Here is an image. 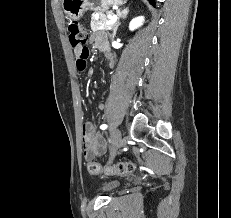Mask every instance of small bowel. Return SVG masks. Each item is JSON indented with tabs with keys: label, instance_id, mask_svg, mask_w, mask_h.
<instances>
[{
	"label": "small bowel",
	"instance_id": "c3829d8e",
	"mask_svg": "<svg viewBox=\"0 0 231 218\" xmlns=\"http://www.w3.org/2000/svg\"><path fill=\"white\" fill-rule=\"evenodd\" d=\"M91 41H93L100 50L104 51L105 53H109L107 51L105 39L102 35L94 34L91 37ZM80 52H81L80 48H74V53L77 57L79 56ZM110 57L112 58L111 54ZM75 61H76L77 69L79 71L85 70L86 66L89 64L87 56H82V58H76ZM98 108L100 110H104L105 105L101 103L99 104ZM92 134H93L92 125L91 124L84 125L83 132H82V140H83V156L86 159L93 158L97 155H102L105 151V145L102 137L100 135L93 136Z\"/></svg>",
	"mask_w": 231,
	"mask_h": 218
}]
</instances>
